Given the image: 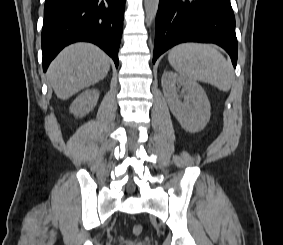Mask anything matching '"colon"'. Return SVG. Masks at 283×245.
I'll return each mask as SVG.
<instances>
[{
  "label": "colon",
  "instance_id": "5ec220e1",
  "mask_svg": "<svg viewBox=\"0 0 283 245\" xmlns=\"http://www.w3.org/2000/svg\"><path fill=\"white\" fill-rule=\"evenodd\" d=\"M143 231V227L140 224H136L133 226L132 232L134 235H140Z\"/></svg>",
  "mask_w": 283,
  "mask_h": 245
}]
</instances>
